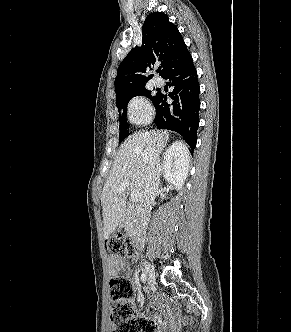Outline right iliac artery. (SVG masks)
<instances>
[{"instance_id":"82829eb1","label":"right iliac artery","mask_w":291,"mask_h":332,"mask_svg":"<svg viewBox=\"0 0 291 332\" xmlns=\"http://www.w3.org/2000/svg\"><path fill=\"white\" fill-rule=\"evenodd\" d=\"M141 281L142 282L146 281V275L144 273L141 274Z\"/></svg>"}]
</instances>
